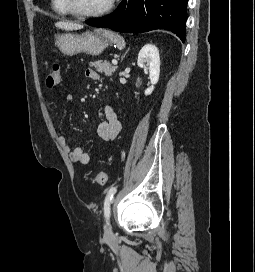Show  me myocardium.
I'll use <instances>...</instances> for the list:
<instances>
[{
	"mask_svg": "<svg viewBox=\"0 0 255 272\" xmlns=\"http://www.w3.org/2000/svg\"><path fill=\"white\" fill-rule=\"evenodd\" d=\"M63 1H64V5L66 9L69 11L71 15L81 19H89V18H99V17L107 15L114 7L116 0H108L107 4L102 9L95 12H88V13L78 11L74 7L72 0H63Z\"/></svg>",
	"mask_w": 255,
	"mask_h": 272,
	"instance_id": "myocardium-1",
	"label": "myocardium"
}]
</instances>
